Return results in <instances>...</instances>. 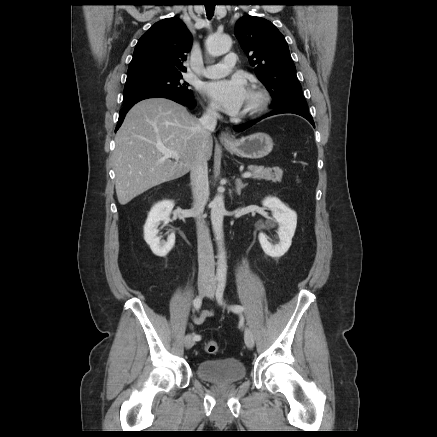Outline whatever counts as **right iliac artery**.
<instances>
[{
  "label": "right iliac artery",
  "mask_w": 437,
  "mask_h": 437,
  "mask_svg": "<svg viewBox=\"0 0 437 437\" xmlns=\"http://www.w3.org/2000/svg\"><path fill=\"white\" fill-rule=\"evenodd\" d=\"M202 304V297L201 296H197L194 301H193V305L195 309H199L201 307ZM201 339L200 335H194V340L195 341H199Z\"/></svg>",
  "instance_id": "82829eb1"
}]
</instances>
